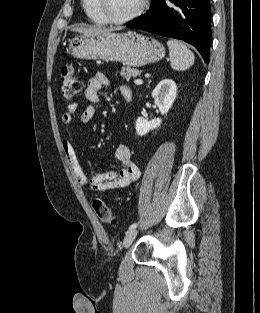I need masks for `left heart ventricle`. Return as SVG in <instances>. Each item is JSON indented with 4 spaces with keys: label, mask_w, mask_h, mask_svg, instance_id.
<instances>
[{
    "label": "left heart ventricle",
    "mask_w": 260,
    "mask_h": 313,
    "mask_svg": "<svg viewBox=\"0 0 260 313\" xmlns=\"http://www.w3.org/2000/svg\"><path fill=\"white\" fill-rule=\"evenodd\" d=\"M140 0H107L108 12L117 18L132 13L139 5Z\"/></svg>",
    "instance_id": "b2bd125f"
}]
</instances>
